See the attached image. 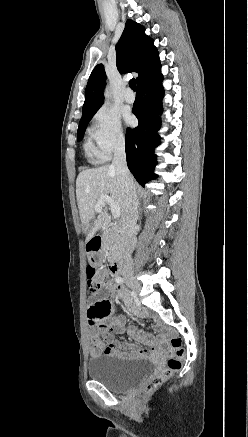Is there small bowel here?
<instances>
[{
	"instance_id": "obj_1",
	"label": "small bowel",
	"mask_w": 248,
	"mask_h": 437,
	"mask_svg": "<svg viewBox=\"0 0 248 437\" xmlns=\"http://www.w3.org/2000/svg\"><path fill=\"white\" fill-rule=\"evenodd\" d=\"M108 294L122 300L124 304L137 316L143 317L145 313L132 307L127 291L121 285L108 283L102 285L101 292L89 294L86 312L88 324L91 328L90 334V355L95 358L101 354L127 358L131 356H145L156 349L153 339L144 331L137 330L133 326H128L125 319H110L113 308ZM96 305H93L95 304ZM127 332L137 342L149 345V348L140 349L136 345L126 344L117 341L112 333L122 334Z\"/></svg>"
}]
</instances>
